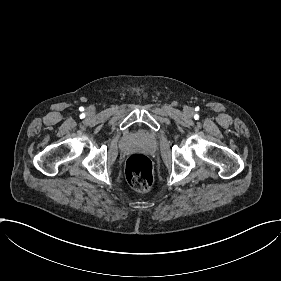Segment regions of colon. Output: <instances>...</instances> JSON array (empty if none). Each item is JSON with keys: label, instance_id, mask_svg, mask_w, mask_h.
I'll list each match as a JSON object with an SVG mask.
<instances>
[{"label": "colon", "instance_id": "5ec220e1", "mask_svg": "<svg viewBox=\"0 0 281 281\" xmlns=\"http://www.w3.org/2000/svg\"><path fill=\"white\" fill-rule=\"evenodd\" d=\"M125 176L129 186L137 191H147L154 183L153 167L143 154H132L125 162Z\"/></svg>", "mask_w": 281, "mask_h": 281}]
</instances>
